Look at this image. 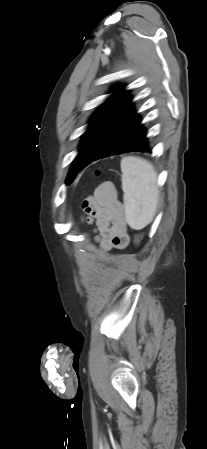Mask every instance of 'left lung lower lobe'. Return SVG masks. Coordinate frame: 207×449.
<instances>
[{
  "instance_id": "0a47b994",
  "label": "left lung lower lobe",
  "mask_w": 207,
  "mask_h": 449,
  "mask_svg": "<svg viewBox=\"0 0 207 449\" xmlns=\"http://www.w3.org/2000/svg\"><path fill=\"white\" fill-rule=\"evenodd\" d=\"M131 151L151 152L140 117L132 111L109 134L92 162Z\"/></svg>"
}]
</instances>
